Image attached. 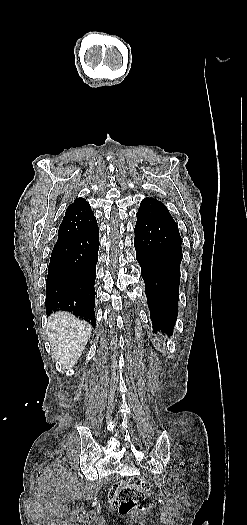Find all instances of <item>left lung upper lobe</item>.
Returning <instances> with one entry per match:
<instances>
[{
    "label": "left lung upper lobe",
    "mask_w": 247,
    "mask_h": 525,
    "mask_svg": "<svg viewBox=\"0 0 247 525\" xmlns=\"http://www.w3.org/2000/svg\"><path fill=\"white\" fill-rule=\"evenodd\" d=\"M137 215L157 218L177 227L166 206L152 197H146L141 201Z\"/></svg>",
    "instance_id": "obj_1"
}]
</instances>
